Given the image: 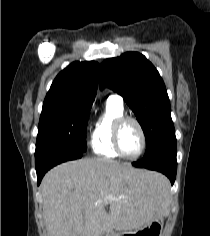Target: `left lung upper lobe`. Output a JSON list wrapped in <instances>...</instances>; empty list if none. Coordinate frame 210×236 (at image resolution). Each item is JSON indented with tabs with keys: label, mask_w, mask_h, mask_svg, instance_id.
Instances as JSON below:
<instances>
[{
	"label": "left lung upper lobe",
	"mask_w": 210,
	"mask_h": 236,
	"mask_svg": "<svg viewBox=\"0 0 210 236\" xmlns=\"http://www.w3.org/2000/svg\"><path fill=\"white\" fill-rule=\"evenodd\" d=\"M100 85L120 94L136 115L146 137L145 155L164 139L175 136L166 87L144 55L127 52L104 60Z\"/></svg>",
	"instance_id": "left-lung-upper-lobe-1"
}]
</instances>
